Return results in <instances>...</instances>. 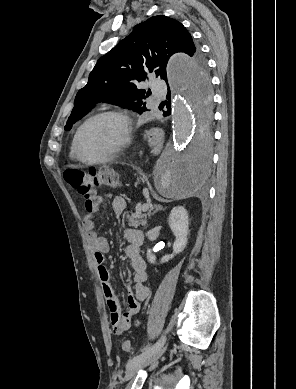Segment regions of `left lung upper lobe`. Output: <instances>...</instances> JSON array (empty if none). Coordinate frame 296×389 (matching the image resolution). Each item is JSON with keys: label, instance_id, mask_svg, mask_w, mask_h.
Here are the masks:
<instances>
[{"label": "left lung upper lobe", "instance_id": "5c2ea615", "mask_svg": "<svg viewBox=\"0 0 296 389\" xmlns=\"http://www.w3.org/2000/svg\"><path fill=\"white\" fill-rule=\"evenodd\" d=\"M176 52L191 57V83L208 90L206 61L190 33L177 20L164 15L153 16L136 25L129 36L98 60L87 85L76 95L65 130H70L72 124L100 101L127 107L139 114L147 111L143 100L148 93L137 89L136 84L144 81L149 72L168 83L167 61ZM202 98L209 103L208 95H202ZM205 115L209 119V113L205 112Z\"/></svg>", "mask_w": 296, "mask_h": 389}]
</instances>
